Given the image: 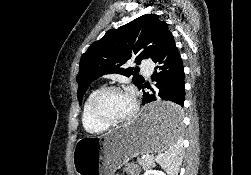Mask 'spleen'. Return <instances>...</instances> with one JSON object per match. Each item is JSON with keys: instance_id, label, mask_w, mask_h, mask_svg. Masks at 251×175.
<instances>
[{"instance_id": "3e777b00", "label": "spleen", "mask_w": 251, "mask_h": 175, "mask_svg": "<svg viewBox=\"0 0 251 175\" xmlns=\"http://www.w3.org/2000/svg\"><path fill=\"white\" fill-rule=\"evenodd\" d=\"M181 117L180 107H172L169 115L164 119V131L169 141V149L167 153H159L156 161L162 165L163 169H166L169 175H178L183 161V149L178 129Z\"/></svg>"}]
</instances>
